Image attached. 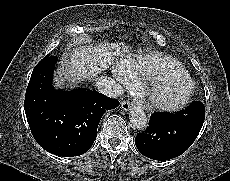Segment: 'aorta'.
Returning a JSON list of instances; mask_svg holds the SVG:
<instances>
[{
    "label": "aorta",
    "mask_w": 230,
    "mask_h": 181,
    "mask_svg": "<svg viewBox=\"0 0 230 181\" xmlns=\"http://www.w3.org/2000/svg\"><path fill=\"white\" fill-rule=\"evenodd\" d=\"M129 119L132 126L137 130L144 131L148 127V118L145 112L138 107L131 108Z\"/></svg>",
    "instance_id": "obj_1"
}]
</instances>
